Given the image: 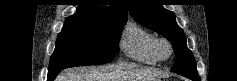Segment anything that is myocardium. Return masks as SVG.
<instances>
[{
    "label": "myocardium",
    "mask_w": 237,
    "mask_h": 81,
    "mask_svg": "<svg viewBox=\"0 0 237 81\" xmlns=\"http://www.w3.org/2000/svg\"><path fill=\"white\" fill-rule=\"evenodd\" d=\"M164 47L168 50V55L166 56L162 53ZM154 53L159 61H168L173 54L171 43L165 38H157L154 43Z\"/></svg>",
    "instance_id": "f54148a6"
}]
</instances>
